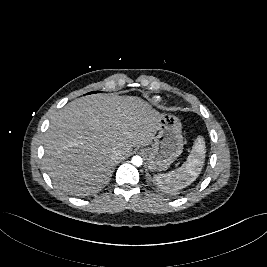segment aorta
I'll return each mask as SVG.
<instances>
[{
  "instance_id": "762f6f07",
  "label": "aorta",
  "mask_w": 267,
  "mask_h": 267,
  "mask_svg": "<svg viewBox=\"0 0 267 267\" xmlns=\"http://www.w3.org/2000/svg\"><path fill=\"white\" fill-rule=\"evenodd\" d=\"M132 164L139 167L142 165L143 163V160L140 156L136 155V156H133L132 157V160H131Z\"/></svg>"
}]
</instances>
